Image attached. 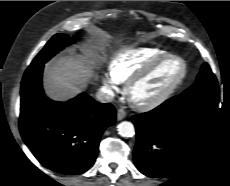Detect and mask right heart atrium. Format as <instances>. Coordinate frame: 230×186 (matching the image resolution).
I'll list each match as a JSON object with an SVG mask.
<instances>
[{
	"instance_id": "d8ad5b80",
	"label": "right heart atrium",
	"mask_w": 230,
	"mask_h": 186,
	"mask_svg": "<svg viewBox=\"0 0 230 186\" xmlns=\"http://www.w3.org/2000/svg\"><path fill=\"white\" fill-rule=\"evenodd\" d=\"M103 88L107 93L118 91L119 82L111 74H107L103 78Z\"/></svg>"
}]
</instances>
